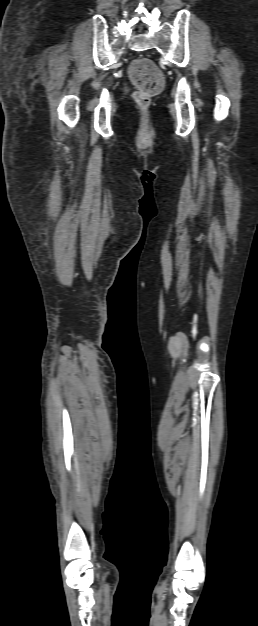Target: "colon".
<instances>
[{
	"instance_id": "colon-1",
	"label": "colon",
	"mask_w": 258,
	"mask_h": 626,
	"mask_svg": "<svg viewBox=\"0 0 258 626\" xmlns=\"http://www.w3.org/2000/svg\"><path fill=\"white\" fill-rule=\"evenodd\" d=\"M129 75L136 87L134 101L141 108H148L151 99L161 92L164 76L158 66L148 58L134 60L129 68Z\"/></svg>"
}]
</instances>
